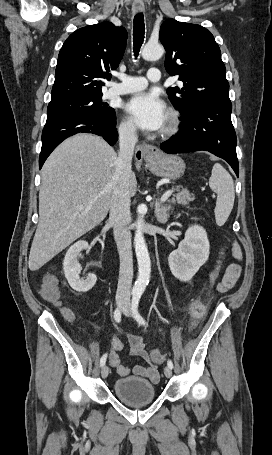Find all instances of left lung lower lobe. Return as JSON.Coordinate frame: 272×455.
Masks as SVG:
<instances>
[{"mask_svg": "<svg viewBox=\"0 0 272 455\" xmlns=\"http://www.w3.org/2000/svg\"><path fill=\"white\" fill-rule=\"evenodd\" d=\"M232 104L205 103L182 117L180 131L161 145L168 154L205 150L226 160L239 174L236 133L231 122Z\"/></svg>", "mask_w": 272, "mask_h": 455, "instance_id": "0a47b994", "label": "left lung lower lobe"}]
</instances>
